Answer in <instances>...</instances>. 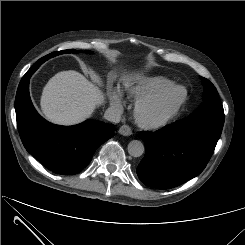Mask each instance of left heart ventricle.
<instances>
[{
  "label": "left heart ventricle",
  "instance_id": "b2bd125f",
  "mask_svg": "<svg viewBox=\"0 0 245 245\" xmlns=\"http://www.w3.org/2000/svg\"><path fill=\"white\" fill-rule=\"evenodd\" d=\"M172 98L168 99L165 103L153 108L150 112L149 115L150 117H158L161 114H163L168 108H170L171 104H172Z\"/></svg>",
  "mask_w": 245,
  "mask_h": 245
}]
</instances>
